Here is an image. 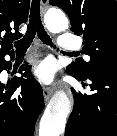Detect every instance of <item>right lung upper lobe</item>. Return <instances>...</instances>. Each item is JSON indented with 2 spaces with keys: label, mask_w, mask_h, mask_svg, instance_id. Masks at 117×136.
I'll return each instance as SVG.
<instances>
[{
  "label": "right lung upper lobe",
  "mask_w": 117,
  "mask_h": 136,
  "mask_svg": "<svg viewBox=\"0 0 117 136\" xmlns=\"http://www.w3.org/2000/svg\"><path fill=\"white\" fill-rule=\"evenodd\" d=\"M29 6L30 0H0V58L13 53L12 41L21 37L18 28L27 21Z\"/></svg>",
  "instance_id": "1"
}]
</instances>
